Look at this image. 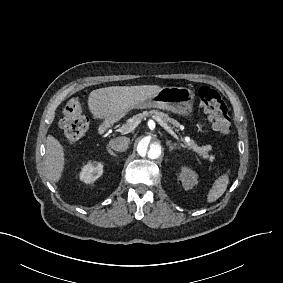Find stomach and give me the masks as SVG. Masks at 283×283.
Wrapping results in <instances>:
<instances>
[{
	"label": "stomach",
	"instance_id": "obj_1",
	"mask_svg": "<svg viewBox=\"0 0 283 283\" xmlns=\"http://www.w3.org/2000/svg\"><path fill=\"white\" fill-rule=\"evenodd\" d=\"M194 92L186 87H162L152 97L132 106L129 110L158 108L181 115H189L193 109ZM128 110V111H129ZM128 111H124V116Z\"/></svg>",
	"mask_w": 283,
	"mask_h": 283
}]
</instances>
